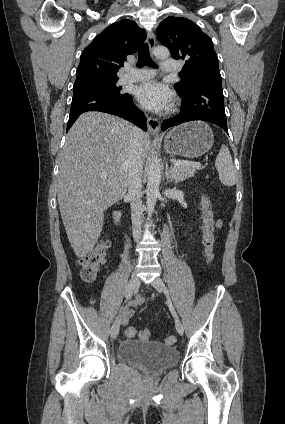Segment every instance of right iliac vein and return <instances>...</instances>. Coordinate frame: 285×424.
<instances>
[{"label": "right iliac vein", "mask_w": 285, "mask_h": 424, "mask_svg": "<svg viewBox=\"0 0 285 424\" xmlns=\"http://www.w3.org/2000/svg\"><path fill=\"white\" fill-rule=\"evenodd\" d=\"M140 286V280L137 277L136 274H133L130 278V282H129V287L131 288L132 291H135L139 288ZM125 315L126 312H123L121 318H116L115 321L113 322V325L111 327V338L112 339H116L119 333V328H120V323L123 321V319H125Z\"/></svg>", "instance_id": "63e3f726"}]
</instances>
